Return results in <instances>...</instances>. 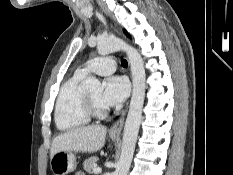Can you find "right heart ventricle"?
Wrapping results in <instances>:
<instances>
[{
  "label": "right heart ventricle",
  "instance_id": "e07e8e85",
  "mask_svg": "<svg viewBox=\"0 0 233 175\" xmlns=\"http://www.w3.org/2000/svg\"><path fill=\"white\" fill-rule=\"evenodd\" d=\"M85 76L78 73L67 79L61 86L54 108V120L61 131H71L86 126L90 117L82 107L84 91L81 88Z\"/></svg>",
  "mask_w": 233,
  "mask_h": 175
}]
</instances>
